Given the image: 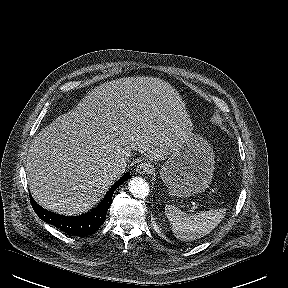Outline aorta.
<instances>
[{"label": "aorta", "instance_id": "aorta-1", "mask_svg": "<svg viewBox=\"0 0 288 288\" xmlns=\"http://www.w3.org/2000/svg\"><path fill=\"white\" fill-rule=\"evenodd\" d=\"M129 191L136 198H145L149 194V185L145 179L141 177L132 178L129 183Z\"/></svg>", "mask_w": 288, "mask_h": 288}]
</instances>
